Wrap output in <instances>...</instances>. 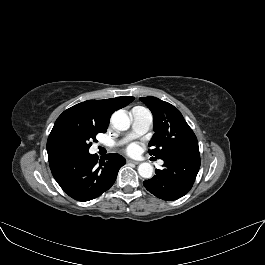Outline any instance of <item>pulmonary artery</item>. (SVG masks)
<instances>
[{"label":"pulmonary artery","mask_w":265,"mask_h":265,"mask_svg":"<svg viewBox=\"0 0 265 265\" xmlns=\"http://www.w3.org/2000/svg\"><path fill=\"white\" fill-rule=\"evenodd\" d=\"M132 128L124 141L147 132L151 126L152 116L144 107H134L131 110ZM162 164V162H160Z\"/></svg>","instance_id":"pulmonary-artery-1"}]
</instances>
